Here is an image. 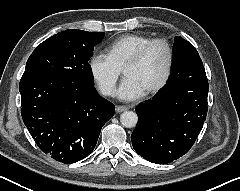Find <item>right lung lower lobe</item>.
Wrapping results in <instances>:
<instances>
[{
	"instance_id": "right-lung-lower-lobe-1",
	"label": "right lung lower lobe",
	"mask_w": 240,
	"mask_h": 191,
	"mask_svg": "<svg viewBox=\"0 0 240 191\" xmlns=\"http://www.w3.org/2000/svg\"><path fill=\"white\" fill-rule=\"evenodd\" d=\"M21 115L37 146L58 162L71 164L94 149L113 104L93 87L51 77L21 78Z\"/></svg>"
}]
</instances>
